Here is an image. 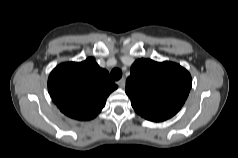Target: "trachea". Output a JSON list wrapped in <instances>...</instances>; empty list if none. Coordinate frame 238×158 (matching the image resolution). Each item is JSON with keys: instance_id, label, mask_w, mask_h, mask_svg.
Wrapping results in <instances>:
<instances>
[{"instance_id": "1", "label": "trachea", "mask_w": 238, "mask_h": 158, "mask_svg": "<svg viewBox=\"0 0 238 158\" xmlns=\"http://www.w3.org/2000/svg\"><path fill=\"white\" fill-rule=\"evenodd\" d=\"M111 76L114 80H119L122 77V71L119 68H114L111 71Z\"/></svg>"}]
</instances>
